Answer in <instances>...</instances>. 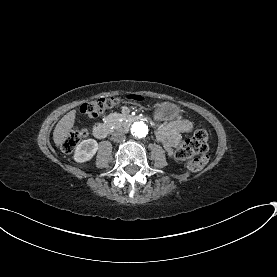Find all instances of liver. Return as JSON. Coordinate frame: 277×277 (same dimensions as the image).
I'll return each instance as SVG.
<instances>
[{"label":"liver","instance_id":"liver-1","mask_svg":"<svg viewBox=\"0 0 277 277\" xmlns=\"http://www.w3.org/2000/svg\"><path fill=\"white\" fill-rule=\"evenodd\" d=\"M75 114L76 110H72L64 115L57 123L53 132V140L56 146L62 145L68 137L70 130L74 126Z\"/></svg>","mask_w":277,"mask_h":277}]
</instances>
